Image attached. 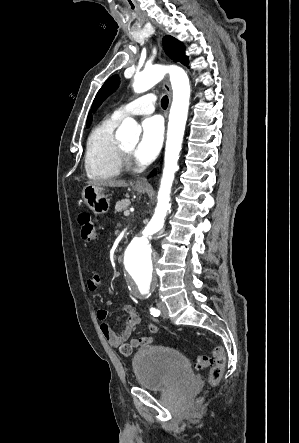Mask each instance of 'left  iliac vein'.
<instances>
[{"mask_svg":"<svg viewBox=\"0 0 299 443\" xmlns=\"http://www.w3.org/2000/svg\"><path fill=\"white\" fill-rule=\"evenodd\" d=\"M158 307H159V309H160V311H161L162 316H163L164 318H168L169 313H168V309H167L166 304L163 303V302H160V303L158 304Z\"/></svg>","mask_w":299,"mask_h":443,"instance_id":"1","label":"left iliac vein"}]
</instances>
